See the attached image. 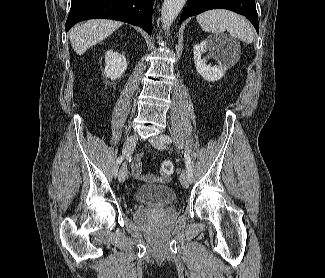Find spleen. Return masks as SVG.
<instances>
[{
  "label": "spleen",
  "instance_id": "obj_1",
  "mask_svg": "<svg viewBox=\"0 0 325 278\" xmlns=\"http://www.w3.org/2000/svg\"><path fill=\"white\" fill-rule=\"evenodd\" d=\"M201 28L210 33L218 34L228 31L232 37L246 44L254 41V29L244 17L224 9L209 10L196 17Z\"/></svg>",
  "mask_w": 325,
  "mask_h": 278
}]
</instances>
